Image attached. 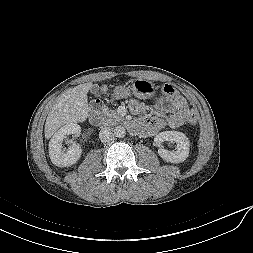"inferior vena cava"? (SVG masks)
Returning <instances> with one entry per match:
<instances>
[{"label":"inferior vena cava","mask_w":253,"mask_h":253,"mask_svg":"<svg viewBox=\"0 0 253 253\" xmlns=\"http://www.w3.org/2000/svg\"><path fill=\"white\" fill-rule=\"evenodd\" d=\"M99 138L103 143H110L114 140V133L110 127H104L99 132Z\"/></svg>","instance_id":"obj_1"}]
</instances>
